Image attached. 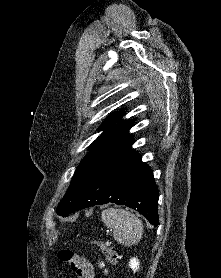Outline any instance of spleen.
I'll return each instance as SVG.
<instances>
[{"label":"spleen","instance_id":"1","mask_svg":"<svg viewBox=\"0 0 221 278\" xmlns=\"http://www.w3.org/2000/svg\"><path fill=\"white\" fill-rule=\"evenodd\" d=\"M104 225L113 230L114 240L124 246L136 245L143 237L142 221L124 209L108 208L101 214Z\"/></svg>","mask_w":221,"mask_h":278}]
</instances>
